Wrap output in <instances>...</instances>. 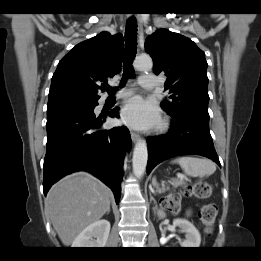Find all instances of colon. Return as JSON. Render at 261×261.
Listing matches in <instances>:
<instances>
[{"mask_svg":"<svg viewBox=\"0 0 261 261\" xmlns=\"http://www.w3.org/2000/svg\"><path fill=\"white\" fill-rule=\"evenodd\" d=\"M212 193V186L205 181H198L194 184L185 185L178 193L170 194L161 201L162 207L171 212L179 213L182 210V198L195 197L198 199L208 198ZM216 206L207 204L200 208L199 219L205 226L206 232L211 233L212 225L216 216Z\"/></svg>","mask_w":261,"mask_h":261,"instance_id":"obj_1","label":"colon"}]
</instances>
